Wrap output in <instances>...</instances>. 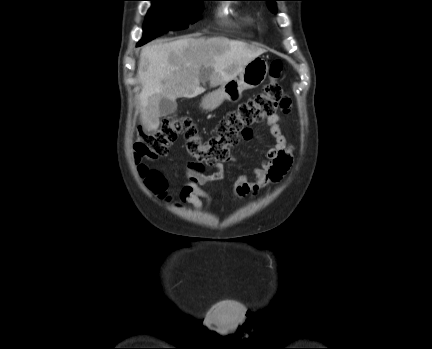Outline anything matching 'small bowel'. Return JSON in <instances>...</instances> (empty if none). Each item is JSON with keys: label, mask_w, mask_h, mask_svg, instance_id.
I'll list each match as a JSON object with an SVG mask.
<instances>
[{"label": "small bowel", "mask_w": 432, "mask_h": 349, "mask_svg": "<svg viewBox=\"0 0 432 349\" xmlns=\"http://www.w3.org/2000/svg\"><path fill=\"white\" fill-rule=\"evenodd\" d=\"M279 119L278 114H274L267 119V125L274 139V144L268 149L266 157L261 164L253 169L254 180H251L245 174L237 177L235 190L238 195H245L267 186L271 182L278 181L291 166L293 159L292 149L282 133ZM185 175L188 182L183 186L181 192L182 198L199 210L208 208L211 205L212 199L202 186L216 183L223 179V170L218 168L213 173L207 174L200 163L188 162Z\"/></svg>", "instance_id": "small-bowel-1"}]
</instances>
